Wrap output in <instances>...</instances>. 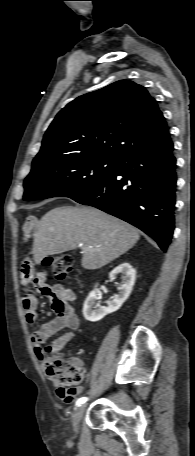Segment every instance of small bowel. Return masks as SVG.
<instances>
[{
  "mask_svg": "<svg viewBox=\"0 0 195 456\" xmlns=\"http://www.w3.org/2000/svg\"><path fill=\"white\" fill-rule=\"evenodd\" d=\"M35 225V217L29 216L25 219L22 225L24 240H27L31 236ZM20 278L23 285L32 283L42 295L48 297L57 315L55 319L40 326L30 335L36 355L40 360H43L46 350L58 352L72 342L74 337L73 332L80 325L79 317L71 305L76 300V294L72 289L61 284L49 285L47 283V274L43 271L35 272L28 261H25L22 265ZM21 304L27 324L33 326L37 319L38 300L36 296L33 294L24 295L21 299ZM61 330H66V332L54 339L51 345L44 350L42 344ZM75 360L81 364L79 359ZM51 381L55 387L56 395L65 403L72 402L83 392L82 387L67 388L53 378Z\"/></svg>",
  "mask_w": 195,
  "mask_h": 456,
  "instance_id": "obj_1",
  "label": "small bowel"
}]
</instances>
